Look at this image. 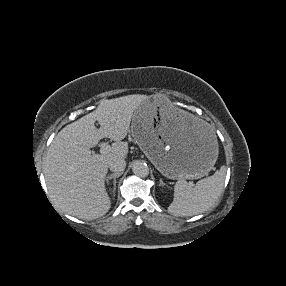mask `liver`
<instances>
[{"instance_id":"liver-1","label":"liver","mask_w":286,"mask_h":286,"mask_svg":"<svg viewBox=\"0 0 286 286\" xmlns=\"http://www.w3.org/2000/svg\"><path fill=\"white\" fill-rule=\"evenodd\" d=\"M145 95H128L102 100L98 108L65 126L53 139L44 161V175L53 203L65 213L92 220L105 215L111 201L105 188L109 162L126 158L128 143L122 140ZM189 120L188 113L181 114ZM98 122L100 128L95 127ZM115 141L106 155L92 154L90 148L104 138Z\"/></svg>"}]
</instances>
